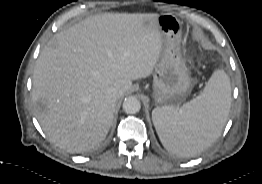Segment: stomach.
<instances>
[{
	"label": "stomach",
	"instance_id": "1",
	"mask_svg": "<svg viewBox=\"0 0 262 184\" xmlns=\"http://www.w3.org/2000/svg\"><path fill=\"white\" fill-rule=\"evenodd\" d=\"M157 23L163 36V50L153 74V96L159 104L179 102L193 87L180 48L182 23L171 14L159 15Z\"/></svg>",
	"mask_w": 262,
	"mask_h": 184
}]
</instances>
